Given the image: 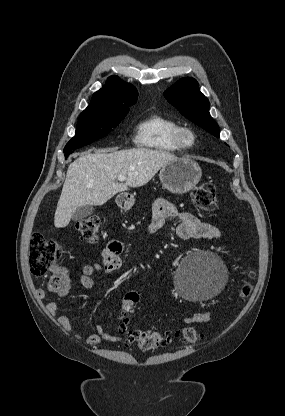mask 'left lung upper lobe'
<instances>
[{"label":"left lung upper lobe","instance_id":"1","mask_svg":"<svg viewBox=\"0 0 285 416\" xmlns=\"http://www.w3.org/2000/svg\"><path fill=\"white\" fill-rule=\"evenodd\" d=\"M164 96L189 120L219 137L218 124L209 113V101L200 92L194 78L180 79L165 91Z\"/></svg>","mask_w":285,"mask_h":416}]
</instances>
